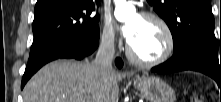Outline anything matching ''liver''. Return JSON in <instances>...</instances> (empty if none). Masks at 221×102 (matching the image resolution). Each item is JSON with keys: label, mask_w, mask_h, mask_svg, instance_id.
Segmentation results:
<instances>
[{"label": "liver", "mask_w": 221, "mask_h": 102, "mask_svg": "<svg viewBox=\"0 0 221 102\" xmlns=\"http://www.w3.org/2000/svg\"><path fill=\"white\" fill-rule=\"evenodd\" d=\"M128 74L90 62L56 60L41 68L23 89L24 102H118V82Z\"/></svg>", "instance_id": "obj_1"}]
</instances>
